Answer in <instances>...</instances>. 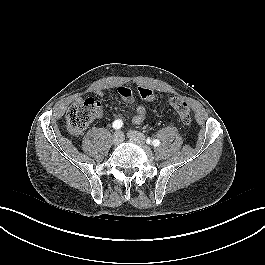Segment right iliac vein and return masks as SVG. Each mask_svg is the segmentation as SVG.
I'll list each match as a JSON object with an SVG mask.
<instances>
[{
	"instance_id": "obj_1",
	"label": "right iliac vein",
	"mask_w": 265,
	"mask_h": 265,
	"mask_svg": "<svg viewBox=\"0 0 265 265\" xmlns=\"http://www.w3.org/2000/svg\"><path fill=\"white\" fill-rule=\"evenodd\" d=\"M124 140V135L121 131H116L112 137V143L117 146L121 144Z\"/></svg>"
}]
</instances>
